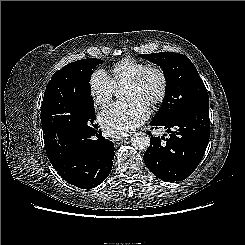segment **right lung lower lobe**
<instances>
[{
	"instance_id": "98d812e1",
	"label": "right lung lower lobe",
	"mask_w": 245,
	"mask_h": 245,
	"mask_svg": "<svg viewBox=\"0 0 245 245\" xmlns=\"http://www.w3.org/2000/svg\"><path fill=\"white\" fill-rule=\"evenodd\" d=\"M43 133L51 164L69 184L91 189L111 172L114 144L101 136L93 124L87 129L47 127Z\"/></svg>"
}]
</instances>
